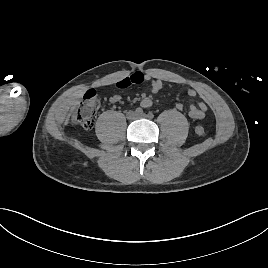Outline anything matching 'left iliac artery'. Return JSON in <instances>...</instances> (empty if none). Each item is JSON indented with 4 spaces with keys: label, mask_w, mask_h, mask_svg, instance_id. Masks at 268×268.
<instances>
[{
    "label": "left iliac artery",
    "mask_w": 268,
    "mask_h": 268,
    "mask_svg": "<svg viewBox=\"0 0 268 268\" xmlns=\"http://www.w3.org/2000/svg\"><path fill=\"white\" fill-rule=\"evenodd\" d=\"M147 116H148L149 119H152L154 117L152 112H149Z\"/></svg>",
    "instance_id": "1"
}]
</instances>
